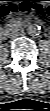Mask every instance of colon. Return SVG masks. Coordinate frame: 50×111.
<instances>
[{
  "label": "colon",
  "mask_w": 50,
  "mask_h": 111,
  "mask_svg": "<svg viewBox=\"0 0 50 111\" xmlns=\"http://www.w3.org/2000/svg\"><path fill=\"white\" fill-rule=\"evenodd\" d=\"M30 11L48 15L50 8L42 0H17L3 6L0 10V16L1 18H7L13 14L28 13Z\"/></svg>",
  "instance_id": "obj_1"
}]
</instances>
